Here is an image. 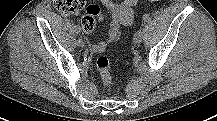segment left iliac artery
<instances>
[{
  "label": "left iliac artery",
  "mask_w": 217,
  "mask_h": 121,
  "mask_svg": "<svg viewBox=\"0 0 217 121\" xmlns=\"http://www.w3.org/2000/svg\"><path fill=\"white\" fill-rule=\"evenodd\" d=\"M150 19H151V16H150L149 14H145V15L143 16V21H144V22H148V21H150Z\"/></svg>",
  "instance_id": "44dca946"
}]
</instances>
